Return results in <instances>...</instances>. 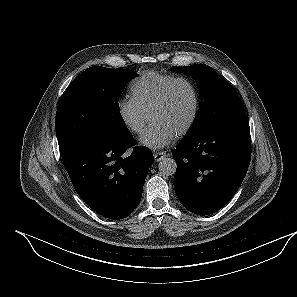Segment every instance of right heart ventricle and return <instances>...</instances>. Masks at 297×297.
<instances>
[{"label":"right heart ventricle","instance_id":"e07e8e85","mask_svg":"<svg viewBox=\"0 0 297 297\" xmlns=\"http://www.w3.org/2000/svg\"><path fill=\"white\" fill-rule=\"evenodd\" d=\"M175 76L156 71L142 74L131 86V96L148 114L163 88Z\"/></svg>","mask_w":297,"mask_h":297}]
</instances>
